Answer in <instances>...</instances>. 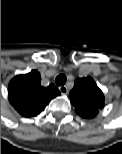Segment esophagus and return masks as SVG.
<instances>
[{
  "label": "esophagus",
  "mask_w": 122,
  "mask_h": 154,
  "mask_svg": "<svg viewBox=\"0 0 122 154\" xmlns=\"http://www.w3.org/2000/svg\"><path fill=\"white\" fill-rule=\"evenodd\" d=\"M59 90L62 94H67L68 93V88L66 86H60Z\"/></svg>",
  "instance_id": "esophagus-1"
}]
</instances>
